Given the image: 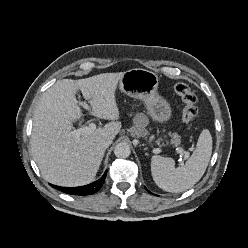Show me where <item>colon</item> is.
Listing matches in <instances>:
<instances>
[{"mask_svg": "<svg viewBox=\"0 0 248 248\" xmlns=\"http://www.w3.org/2000/svg\"><path fill=\"white\" fill-rule=\"evenodd\" d=\"M174 91L184 103V107L182 111L183 122L184 123L193 122L198 113L196 95L186 83H182V82L175 84Z\"/></svg>", "mask_w": 248, "mask_h": 248, "instance_id": "colon-1", "label": "colon"}]
</instances>
